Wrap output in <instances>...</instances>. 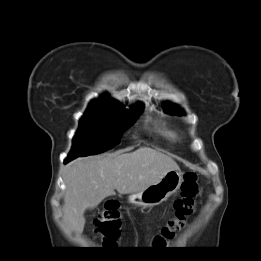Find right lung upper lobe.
I'll use <instances>...</instances> for the list:
<instances>
[{"label":"right lung upper lobe","mask_w":261,"mask_h":261,"mask_svg":"<svg viewBox=\"0 0 261 261\" xmlns=\"http://www.w3.org/2000/svg\"><path fill=\"white\" fill-rule=\"evenodd\" d=\"M94 101L100 102V101H116V100L110 99V98H108V97L105 96V97H103V98H100V99L94 100Z\"/></svg>","instance_id":"right-lung-upper-lobe-1"}]
</instances>
